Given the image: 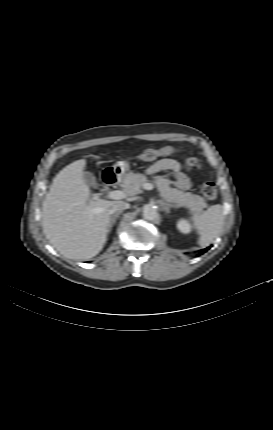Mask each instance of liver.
<instances>
[{
  "instance_id": "obj_1",
  "label": "liver",
  "mask_w": 273,
  "mask_h": 430,
  "mask_svg": "<svg viewBox=\"0 0 273 430\" xmlns=\"http://www.w3.org/2000/svg\"><path fill=\"white\" fill-rule=\"evenodd\" d=\"M86 160L67 165L53 179L42 207L43 232L63 256L89 259L103 248L114 201L90 199Z\"/></svg>"
}]
</instances>
